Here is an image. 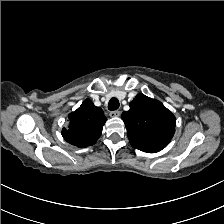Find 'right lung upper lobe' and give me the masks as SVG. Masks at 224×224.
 I'll return each instance as SVG.
<instances>
[{
    "label": "right lung upper lobe",
    "mask_w": 224,
    "mask_h": 224,
    "mask_svg": "<svg viewBox=\"0 0 224 224\" xmlns=\"http://www.w3.org/2000/svg\"><path fill=\"white\" fill-rule=\"evenodd\" d=\"M68 118L69 126L63 128L62 136L68 143L80 148L93 145L97 141L107 120L102 109L96 107L88 98Z\"/></svg>",
    "instance_id": "right-lung-upper-lobe-1"
}]
</instances>
